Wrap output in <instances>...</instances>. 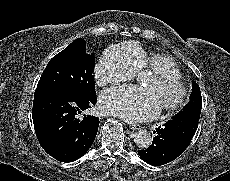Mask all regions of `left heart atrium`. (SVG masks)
<instances>
[{
  "mask_svg": "<svg viewBox=\"0 0 230 181\" xmlns=\"http://www.w3.org/2000/svg\"><path fill=\"white\" fill-rule=\"evenodd\" d=\"M105 110L131 121H142L154 116L153 108L141 95V90L130 88L110 89L103 97Z\"/></svg>",
  "mask_w": 230,
  "mask_h": 181,
  "instance_id": "1",
  "label": "left heart atrium"
}]
</instances>
